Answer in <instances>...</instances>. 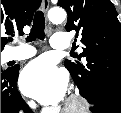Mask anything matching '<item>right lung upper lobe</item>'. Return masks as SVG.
Returning a JSON list of instances; mask_svg holds the SVG:
<instances>
[{"mask_svg":"<svg viewBox=\"0 0 121 113\" xmlns=\"http://www.w3.org/2000/svg\"><path fill=\"white\" fill-rule=\"evenodd\" d=\"M40 3L41 0H1V32L23 34V27L31 23ZM6 43V38L1 37V51Z\"/></svg>","mask_w":121,"mask_h":113,"instance_id":"right-lung-upper-lobe-1","label":"right lung upper lobe"}]
</instances>
